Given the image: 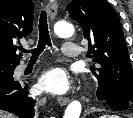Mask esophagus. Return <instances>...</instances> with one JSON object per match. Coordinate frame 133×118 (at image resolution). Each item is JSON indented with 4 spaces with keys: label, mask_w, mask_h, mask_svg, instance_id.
<instances>
[{
    "label": "esophagus",
    "mask_w": 133,
    "mask_h": 118,
    "mask_svg": "<svg viewBox=\"0 0 133 118\" xmlns=\"http://www.w3.org/2000/svg\"><path fill=\"white\" fill-rule=\"evenodd\" d=\"M57 9L58 4L56 1H49L47 3L46 10L51 20H53L56 17ZM57 101L61 106H64L69 103L70 99L68 97H59Z\"/></svg>",
    "instance_id": "esophagus-1"
}]
</instances>
